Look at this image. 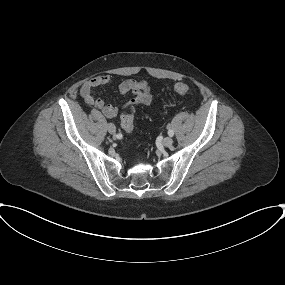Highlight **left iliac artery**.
<instances>
[{
    "instance_id": "44dca946",
    "label": "left iliac artery",
    "mask_w": 285,
    "mask_h": 285,
    "mask_svg": "<svg viewBox=\"0 0 285 285\" xmlns=\"http://www.w3.org/2000/svg\"><path fill=\"white\" fill-rule=\"evenodd\" d=\"M168 134H169V136H171V137H172V136L174 135V131H173V130H171V129H169V130H168Z\"/></svg>"
}]
</instances>
